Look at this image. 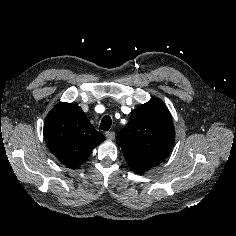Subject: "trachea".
Wrapping results in <instances>:
<instances>
[{
  "label": "trachea",
  "mask_w": 236,
  "mask_h": 236,
  "mask_svg": "<svg viewBox=\"0 0 236 236\" xmlns=\"http://www.w3.org/2000/svg\"><path fill=\"white\" fill-rule=\"evenodd\" d=\"M111 124H112L111 117L109 115H105L101 120L99 128L103 131H107L111 128Z\"/></svg>",
  "instance_id": "obj_1"
}]
</instances>
